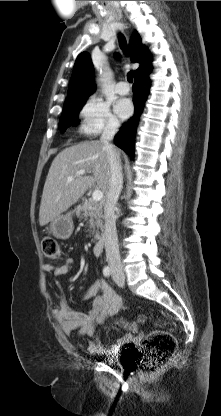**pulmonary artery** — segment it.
<instances>
[{
    "instance_id": "e3ab8cb5",
    "label": "pulmonary artery",
    "mask_w": 221,
    "mask_h": 416,
    "mask_svg": "<svg viewBox=\"0 0 221 416\" xmlns=\"http://www.w3.org/2000/svg\"><path fill=\"white\" fill-rule=\"evenodd\" d=\"M115 89H116V92L120 95H127L130 91V88H129L128 84L123 80H120L117 83Z\"/></svg>"
}]
</instances>
